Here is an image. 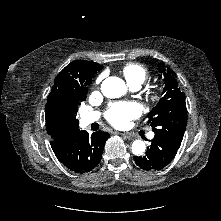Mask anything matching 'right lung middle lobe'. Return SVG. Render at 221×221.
<instances>
[{
	"label": "right lung middle lobe",
	"mask_w": 221,
	"mask_h": 221,
	"mask_svg": "<svg viewBox=\"0 0 221 221\" xmlns=\"http://www.w3.org/2000/svg\"><path fill=\"white\" fill-rule=\"evenodd\" d=\"M86 99V95H81L75 99L71 107L65 112H56L54 118L62 123H78L76 113L82 101Z\"/></svg>",
	"instance_id": "1"
}]
</instances>
